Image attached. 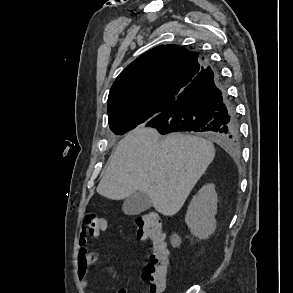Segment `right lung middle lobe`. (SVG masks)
Returning <instances> with one entry per match:
<instances>
[{
  "mask_svg": "<svg viewBox=\"0 0 293 293\" xmlns=\"http://www.w3.org/2000/svg\"><path fill=\"white\" fill-rule=\"evenodd\" d=\"M154 110H137L109 118L110 129L118 135H123L138 124L146 123L153 116Z\"/></svg>",
  "mask_w": 293,
  "mask_h": 293,
  "instance_id": "dd1d6c3e",
  "label": "right lung middle lobe"
}]
</instances>
